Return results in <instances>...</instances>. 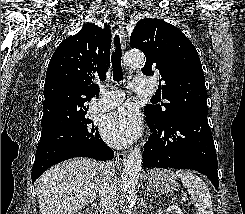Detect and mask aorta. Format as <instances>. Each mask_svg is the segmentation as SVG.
<instances>
[{
	"label": "aorta",
	"mask_w": 245,
	"mask_h": 214,
	"mask_svg": "<svg viewBox=\"0 0 245 214\" xmlns=\"http://www.w3.org/2000/svg\"><path fill=\"white\" fill-rule=\"evenodd\" d=\"M124 63L133 67H142L145 56L138 51H129L124 56ZM142 167V151L140 148L131 149L124 163L121 176V188L127 202L133 206L137 200V181Z\"/></svg>",
	"instance_id": "obj_1"
}]
</instances>
